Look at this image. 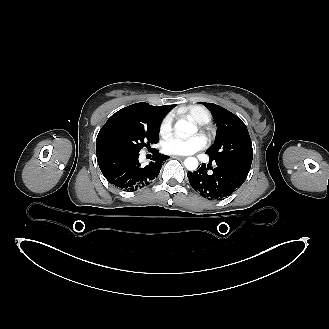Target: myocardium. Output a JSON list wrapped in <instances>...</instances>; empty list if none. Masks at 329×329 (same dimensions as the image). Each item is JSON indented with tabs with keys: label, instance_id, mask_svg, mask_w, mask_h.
I'll return each mask as SVG.
<instances>
[{
	"label": "myocardium",
	"instance_id": "f54148a6",
	"mask_svg": "<svg viewBox=\"0 0 329 329\" xmlns=\"http://www.w3.org/2000/svg\"><path fill=\"white\" fill-rule=\"evenodd\" d=\"M201 129H202V128H201ZM202 133H203V135H204L205 137H208V136H209V133L206 132L204 129H202Z\"/></svg>",
	"mask_w": 329,
	"mask_h": 329
}]
</instances>
